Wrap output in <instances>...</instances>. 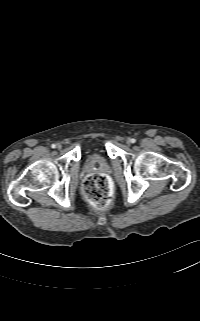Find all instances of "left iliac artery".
Instances as JSON below:
<instances>
[{"label": "left iliac artery", "instance_id": "1", "mask_svg": "<svg viewBox=\"0 0 200 321\" xmlns=\"http://www.w3.org/2000/svg\"><path fill=\"white\" fill-rule=\"evenodd\" d=\"M131 142H132V143H135V142H136V139H134V138L131 139Z\"/></svg>", "mask_w": 200, "mask_h": 321}]
</instances>
